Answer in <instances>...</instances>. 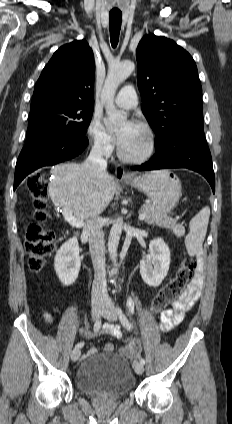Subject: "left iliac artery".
<instances>
[{
    "label": "left iliac artery",
    "mask_w": 232,
    "mask_h": 424,
    "mask_svg": "<svg viewBox=\"0 0 232 424\" xmlns=\"http://www.w3.org/2000/svg\"><path fill=\"white\" fill-rule=\"evenodd\" d=\"M117 311H118V315H119V319L121 321V324L127 329L130 330L131 329V324L129 322V320L127 319V317L125 316V314L122 312L121 308L118 306L117 307ZM129 312H133V307L132 304H129ZM140 362L144 365L145 364V360L143 358L140 359Z\"/></svg>",
    "instance_id": "left-iliac-artery-1"
}]
</instances>
